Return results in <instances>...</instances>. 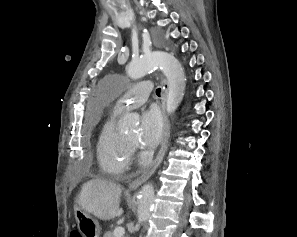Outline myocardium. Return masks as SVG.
Listing matches in <instances>:
<instances>
[{
    "label": "myocardium",
    "mask_w": 297,
    "mask_h": 237,
    "mask_svg": "<svg viewBox=\"0 0 297 237\" xmlns=\"http://www.w3.org/2000/svg\"><path fill=\"white\" fill-rule=\"evenodd\" d=\"M124 139H125L126 143H127L131 148L135 147V143L128 141L126 138H124Z\"/></svg>",
    "instance_id": "obj_1"
}]
</instances>
